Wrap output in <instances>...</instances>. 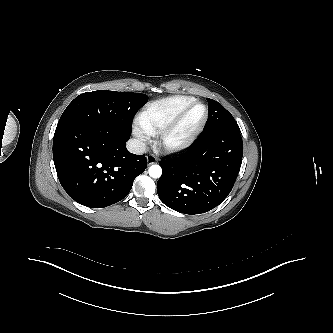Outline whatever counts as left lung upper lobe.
Here are the masks:
<instances>
[{
  "label": "left lung upper lobe",
  "mask_w": 333,
  "mask_h": 333,
  "mask_svg": "<svg viewBox=\"0 0 333 333\" xmlns=\"http://www.w3.org/2000/svg\"><path fill=\"white\" fill-rule=\"evenodd\" d=\"M208 101V120L204 127L205 132H211L220 129H233L240 131L238 124L220 103L207 98Z\"/></svg>",
  "instance_id": "obj_1"
}]
</instances>
